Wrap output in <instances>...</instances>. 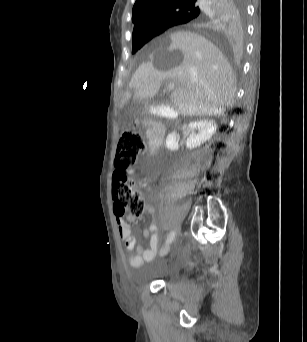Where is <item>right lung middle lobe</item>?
<instances>
[{
  "label": "right lung middle lobe",
  "mask_w": 307,
  "mask_h": 342,
  "mask_svg": "<svg viewBox=\"0 0 307 342\" xmlns=\"http://www.w3.org/2000/svg\"><path fill=\"white\" fill-rule=\"evenodd\" d=\"M187 16V15H183ZM163 30L148 31L143 33H138L133 35V48L132 53H136L140 48H142L148 41H150L155 36L161 34Z\"/></svg>",
  "instance_id": "obj_1"
}]
</instances>
